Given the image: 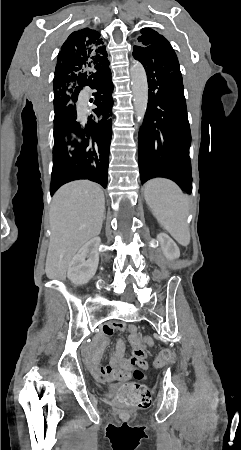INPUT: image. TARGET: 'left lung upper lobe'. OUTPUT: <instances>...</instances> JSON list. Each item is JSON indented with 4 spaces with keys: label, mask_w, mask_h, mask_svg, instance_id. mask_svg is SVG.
Segmentation results:
<instances>
[{
    "label": "left lung upper lobe",
    "mask_w": 241,
    "mask_h": 450,
    "mask_svg": "<svg viewBox=\"0 0 241 450\" xmlns=\"http://www.w3.org/2000/svg\"><path fill=\"white\" fill-rule=\"evenodd\" d=\"M141 33L137 39L140 45L134 46V49L141 53L156 55L169 44L162 35L150 28H143Z\"/></svg>",
    "instance_id": "left-lung-upper-lobe-1"
}]
</instances>
